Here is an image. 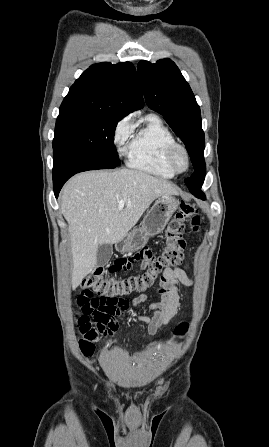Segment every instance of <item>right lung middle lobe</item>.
<instances>
[{
	"label": "right lung middle lobe",
	"instance_id": "1",
	"mask_svg": "<svg viewBox=\"0 0 269 447\" xmlns=\"http://www.w3.org/2000/svg\"><path fill=\"white\" fill-rule=\"evenodd\" d=\"M119 118L110 116L59 115L53 140L60 152L119 166L114 132Z\"/></svg>",
	"mask_w": 269,
	"mask_h": 447
}]
</instances>
